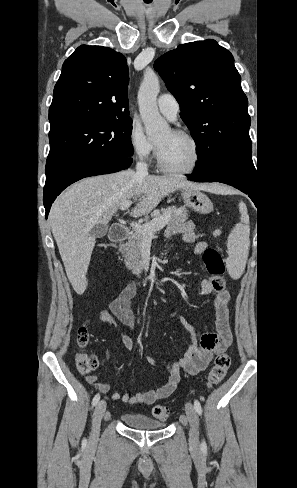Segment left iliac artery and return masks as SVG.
Here are the masks:
<instances>
[{
    "mask_svg": "<svg viewBox=\"0 0 297 488\" xmlns=\"http://www.w3.org/2000/svg\"><path fill=\"white\" fill-rule=\"evenodd\" d=\"M194 408H195L196 412L199 415L202 414V407H201L200 402L197 399L194 401ZM201 450L202 451H206L207 450V445H206V442L204 440H203V442L201 444Z\"/></svg>",
    "mask_w": 297,
    "mask_h": 488,
    "instance_id": "44dca946",
    "label": "left iliac artery"
}]
</instances>
